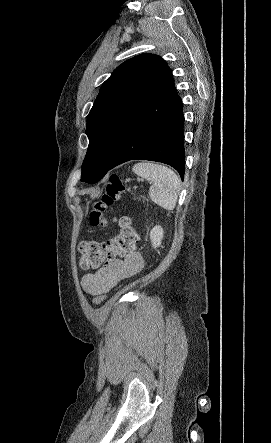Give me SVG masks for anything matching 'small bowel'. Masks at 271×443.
<instances>
[{
    "mask_svg": "<svg viewBox=\"0 0 271 443\" xmlns=\"http://www.w3.org/2000/svg\"><path fill=\"white\" fill-rule=\"evenodd\" d=\"M142 267L141 254L133 250L123 256L107 260L95 273L85 274L81 279V286L88 294H104L123 280L137 274Z\"/></svg>",
    "mask_w": 271,
    "mask_h": 443,
    "instance_id": "small-bowel-1",
    "label": "small bowel"
}]
</instances>
